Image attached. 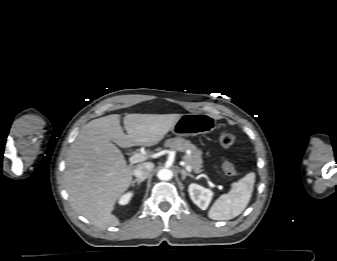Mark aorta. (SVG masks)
<instances>
[{
  "label": "aorta",
  "instance_id": "762f6f07",
  "mask_svg": "<svg viewBox=\"0 0 337 261\" xmlns=\"http://www.w3.org/2000/svg\"><path fill=\"white\" fill-rule=\"evenodd\" d=\"M157 177L160 180L168 181V180H170L173 177V173H172V171L170 169L163 168V169H161V170L158 171Z\"/></svg>",
  "mask_w": 337,
  "mask_h": 261
}]
</instances>
